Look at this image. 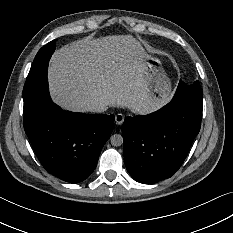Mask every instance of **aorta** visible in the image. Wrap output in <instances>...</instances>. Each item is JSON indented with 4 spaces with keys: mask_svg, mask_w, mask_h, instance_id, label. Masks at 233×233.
Returning a JSON list of instances; mask_svg holds the SVG:
<instances>
[{
    "mask_svg": "<svg viewBox=\"0 0 233 233\" xmlns=\"http://www.w3.org/2000/svg\"><path fill=\"white\" fill-rule=\"evenodd\" d=\"M110 142L115 147L121 146L123 144V137L119 134H114L111 136Z\"/></svg>",
    "mask_w": 233,
    "mask_h": 233,
    "instance_id": "aorta-1",
    "label": "aorta"
}]
</instances>
